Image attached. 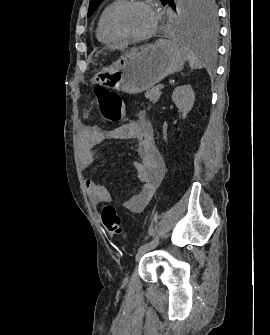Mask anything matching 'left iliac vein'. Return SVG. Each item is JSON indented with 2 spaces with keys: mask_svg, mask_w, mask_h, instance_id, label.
Returning a JSON list of instances; mask_svg holds the SVG:
<instances>
[{
  "mask_svg": "<svg viewBox=\"0 0 270 335\" xmlns=\"http://www.w3.org/2000/svg\"><path fill=\"white\" fill-rule=\"evenodd\" d=\"M149 251V249H141L137 252L136 256H135V260L138 261L145 253H147ZM128 281V277L126 276L124 278V283H127Z\"/></svg>",
  "mask_w": 270,
  "mask_h": 335,
  "instance_id": "obj_1",
  "label": "left iliac vein"
}]
</instances>
